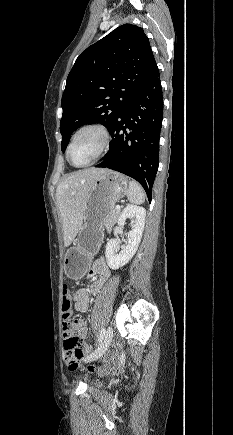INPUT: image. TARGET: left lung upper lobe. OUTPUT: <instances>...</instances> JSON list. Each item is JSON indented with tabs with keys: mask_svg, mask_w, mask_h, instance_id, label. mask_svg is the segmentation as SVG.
<instances>
[{
	"mask_svg": "<svg viewBox=\"0 0 233 435\" xmlns=\"http://www.w3.org/2000/svg\"><path fill=\"white\" fill-rule=\"evenodd\" d=\"M156 66L148 37L131 24L119 26L83 51L62 96V151L71 134L84 124L101 123L110 131Z\"/></svg>",
	"mask_w": 233,
	"mask_h": 435,
	"instance_id": "left-lung-upper-lobe-1",
	"label": "left lung upper lobe"
}]
</instances>
